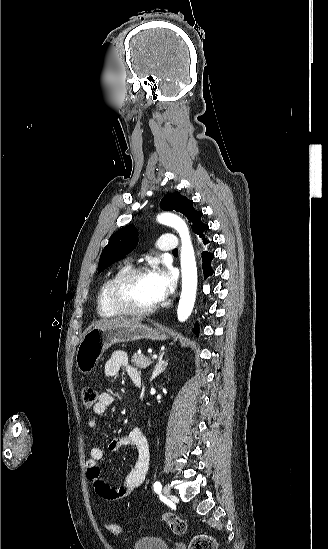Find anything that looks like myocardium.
I'll list each match as a JSON object with an SVG mask.
<instances>
[{"mask_svg": "<svg viewBox=\"0 0 328 549\" xmlns=\"http://www.w3.org/2000/svg\"><path fill=\"white\" fill-rule=\"evenodd\" d=\"M158 264L159 261L157 260L142 261L132 265L115 277L107 290L108 311L115 315L133 317H144L154 313L159 308L160 300L151 306L144 308L122 307L120 305L134 304L124 295L126 285L140 275L151 273L149 267Z\"/></svg>", "mask_w": 328, "mask_h": 549, "instance_id": "f54148a6", "label": "myocardium"}]
</instances>
